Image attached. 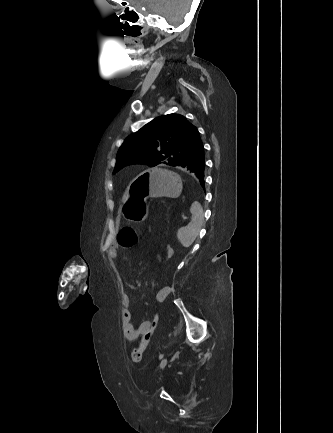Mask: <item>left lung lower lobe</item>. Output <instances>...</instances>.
<instances>
[{
	"label": "left lung lower lobe",
	"instance_id": "0a47b994",
	"mask_svg": "<svg viewBox=\"0 0 333 433\" xmlns=\"http://www.w3.org/2000/svg\"><path fill=\"white\" fill-rule=\"evenodd\" d=\"M178 166L196 176L200 180L201 185L204 186L205 156L203 143L181 161Z\"/></svg>",
	"mask_w": 333,
	"mask_h": 433
}]
</instances>
